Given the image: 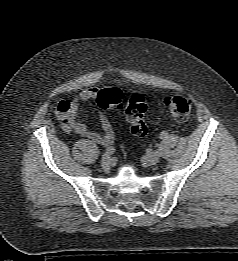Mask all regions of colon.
Wrapping results in <instances>:
<instances>
[{"instance_id": "colon-1", "label": "colon", "mask_w": 238, "mask_h": 261, "mask_svg": "<svg viewBox=\"0 0 238 261\" xmlns=\"http://www.w3.org/2000/svg\"><path fill=\"white\" fill-rule=\"evenodd\" d=\"M97 103L104 110L115 109L122 111L134 135L138 137L147 135L148 128L145 121L147 103L143 94H132L124 101L123 93L119 88L108 87L100 91ZM164 105L171 116L179 121L186 120L191 111L190 100L183 96H166ZM60 108H63V104L60 105Z\"/></svg>"}]
</instances>
